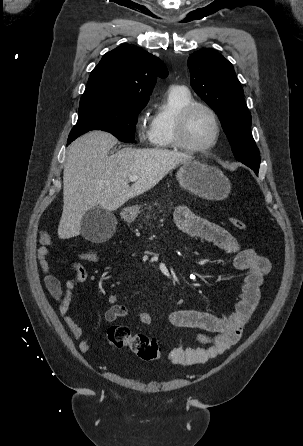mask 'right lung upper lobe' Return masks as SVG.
<instances>
[{
  "label": "right lung upper lobe",
  "instance_id": "cb5924a9",
  "mask_svg": "<svg viewBox=\"0 0 303 446\" xmlns=\"http://www.w3.org/2000/svg\"><path fill=\"white\" fill-rule=\"evenodd\" d=\"M167 74L165 64L156 56L141 48L119 46L104 54L91 72L80 105H146L156 77Z\"/></svg>",
  "mask_w": 303,
  "mask_h": 446
}]
</instances>
